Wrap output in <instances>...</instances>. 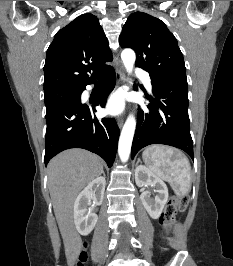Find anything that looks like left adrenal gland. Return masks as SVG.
<instances>
[{"instance_id":"obj_1","label":"left adrenal gland","mask_w":233,"mask_h":266,"mask_svg":"<svg viewBox=\"0 0 233 266\" xmlns=\"http://www.w3.org/2000/svg\"><path fill=\"white\" fill-rule=\"evenodd\" d=\"M139 162H140V159H138V161H137V164H136V165H138V163H139ZM137 167H138V166H137ZM137 167H136V168H137Z\"/></svg>"}]
</instances>
